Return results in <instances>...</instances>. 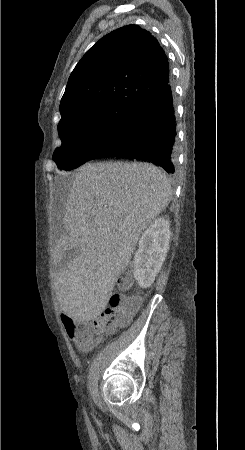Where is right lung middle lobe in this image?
<instances>
[{
    "label": "right lung middle lobe",
    "instance_id": "right-lung-middle-lobe-1",
    "mask_svg": "<svg viewBox=\"0 0 245 450\" xmlns=\"http://www.w3.org/2000/svg\"><path fill=\"white\" fill-rule=\"evenodd\" d=\"M135 109L121 104L94 105L61 118L62 146L53 154L58 169L72 170L122 137Z\"/></svg>",
    "mask_w": 245,
    "mask_h": 450
}]
</instances>
